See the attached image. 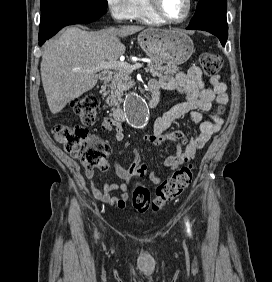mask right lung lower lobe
<instances>
[{
    "mask_svg": "<svg viewBox=\"0 0 272 282\" xmlns=\"http://www.w3.org/2000/svg\"><path fill=\"white\" fill-rule=\"evenodd\" d=\"M107 12L100 6L70 5L50 9L40 18L39 45L54 36L61 28L72 24H85L99 19Z\"/></svg>",
    "mask_w": 272,
    "mask_h": 282,
    "instance_id": "right-lung-lower-lobe-1",
    "label": "right lung lower lobe"
}]
</instances>
